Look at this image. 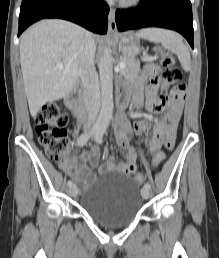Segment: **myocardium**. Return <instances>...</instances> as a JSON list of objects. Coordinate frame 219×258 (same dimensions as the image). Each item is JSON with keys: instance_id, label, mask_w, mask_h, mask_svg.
<instances>
[{"instance_id": "f54148a6", "label": "myocardium", "mask_w": 219, "mask_h": 258, "mask_svg": "<svg viewBox=\"0 0 219 258\" xmlns=\"http://www.w3.org/2000/svg\"><path fill=\"white\" fill-rule=\"evenodd\" d=\"M141 0H122V5L125 7H132L139 4Z\"/></svg>"}]
</instances>
